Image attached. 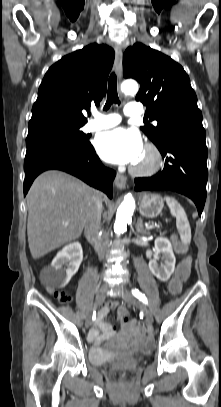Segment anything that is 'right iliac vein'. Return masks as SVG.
Segmentation results:
<instances>
[{
    "label": "right iliac vein",
    "instance_id": "1",
    "mask_svg": "<svg viewBox=\"0 0 221 407\" xmlns=\"http://www.w3.org/2000/svg\"><path fill=\"white\" fill-rule=\"evenodd\" d=\"M107 290H108V286L106 284H103L99 287V289L96 293L94 308L99 307L103 303ZM91 323H92V313H89L85 320L86 328H89L91 326Z\"/></svg>",
    "mask_w": 221,
    "mask_h": 407
}]
</instances>
